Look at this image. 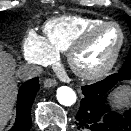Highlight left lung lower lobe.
I'll list each match as a JSON object with an SVG mask.
<instances>
[{
	"instance_id": "1",
	"label": "left lung lower lobe",
	"mask_w": 131,
	"mask_h": 131,
	"mask_svg": "<svg viewBox=\"0 0 131 131\" xmlns=\"http://www.w3.org/2000/svg\"><path fill=\"white\" fill-rule=\"evenodd\" d=\"M131 80V68L119 70L92 85L82 86L84 98L75 115L78 131H131V108L122 112L113 111L104 100V95L120 81Z\"/></svg>"
}]
</instances>
